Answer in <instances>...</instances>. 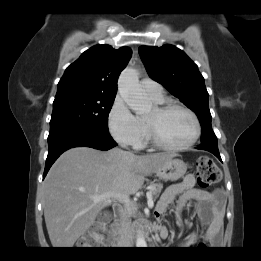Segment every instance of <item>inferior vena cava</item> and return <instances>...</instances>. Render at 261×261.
Masks as SVG:
<instances>
[{
  "instance_id": "602c4592",
  "label": "inferior vena cava",
  "mask_w": 261,
  "mask_h": 261,
  "mask_svg": "<svg viewBox=\"0 0 261 261\" xmlns=\"http://www.w3.org/2000/svg\"><path fill=\"white\" fill-rule=\"evenodd\" d=\"M120 218L122 220L123 225V233L118 241V245L120 247H130V236L128 234L129 229V216L125 208L121 207L119 209Z\"/></svg>"
}]
</instances>
